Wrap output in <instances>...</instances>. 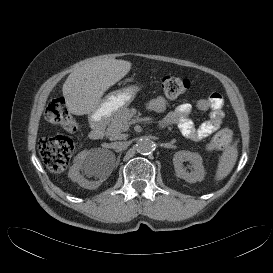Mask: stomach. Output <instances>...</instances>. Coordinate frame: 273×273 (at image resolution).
<instances>
[{"label": "stomach", "instance_id": "stomach-1", "mask_svg": "<svg viewBox=\"0 0 273 273\" xmlns=\"http://www.w3.org/2000/svg\"><path fill=\"white\" fill-rule=\"evenodd\" d=\"M139 88L128 86L109 93L98 108L90 114L92 121H105L114 117L120 110L128 107L134 100Z\"/></svg>", "mask_w": 273, "mask_h": 273}]
</instances>
